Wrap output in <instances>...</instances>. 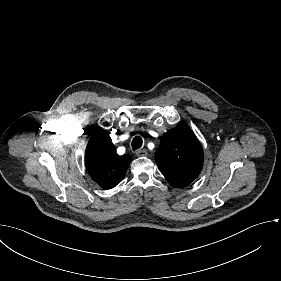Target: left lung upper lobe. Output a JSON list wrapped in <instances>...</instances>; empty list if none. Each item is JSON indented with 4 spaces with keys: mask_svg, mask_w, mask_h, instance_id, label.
I'll list each match as a JSON object with an SVG mask.
<instances>
[{
    "mask_svg": "<svg viewBox=\"0 0 281 281\" xmlns=\"http://www.w3.org/2000/svg\"><path fill=\"white\" fill-rule=\"evenodd\" d=\"M155 160L169 184L181 188L200 174L203 149L189 126L181 122L163 135Z\"/></svg>",
    "mask_w": 281,
    "mask_h": 281,
    "instance_id": "obj_1",
    "label": "left lung upper lobe"
}]
</instances>
